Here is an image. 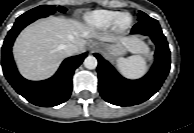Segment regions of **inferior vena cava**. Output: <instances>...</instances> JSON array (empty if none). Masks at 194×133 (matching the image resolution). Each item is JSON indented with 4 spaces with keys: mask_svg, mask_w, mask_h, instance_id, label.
<instances>
[{
    "mask_svg": "<svg viewBox=\"0 0 194 133\" xmlns=\"http://www.w3.org/2000/svg\"><path fill=\"white\" fill-rule=\"evenodd\" d=\"M64 51L66 52L67 55H72L78 51V48L76 45L68 43L64 46Z\"/></svg>",
    "mask_w": 194,
    "mask_h": 133,
    "instance_id": "602c4592",
    "label": "inferior vena cava"
}]
</instances>
